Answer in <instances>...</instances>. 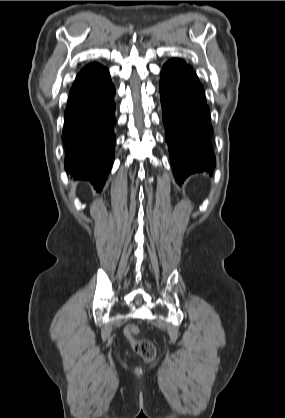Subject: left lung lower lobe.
Here are the masks:
<instances>
[{"instance_id":"1","label":"left lung lower lobe","mask_w":285,"mask_h":418,"mask_svg":"<svg viewBox=\"0 0 285 418\" xmlns=\"http://www.w3.org/2000/svg\"><path fill=\"white\" fill-rule=\"evenodd\" d=\"M159 90L173 174L181 184L196 172H212L213 128L205 92L193 68L170 59L162 68Z\"/></svg>"}]
</instances>
